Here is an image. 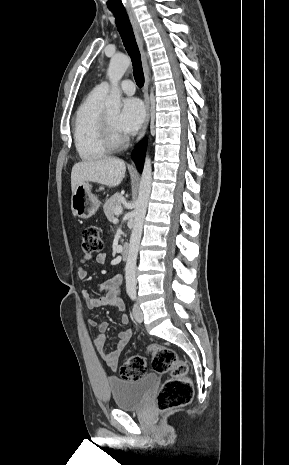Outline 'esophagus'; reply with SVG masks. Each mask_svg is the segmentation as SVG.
Here are the masks:
<instances>
[{
    "mask_svg": "<svg viewBox=\"0 0 289 465\" xmlns=\"http://www.w3.org/2000/svg\"><path fill=\"white\" fill-rule=\"evenodd\" d=\"M127 14L129 16V19L131 21L133 31L135 34V38L141 53V61H142V67L144 71V87H143V94H144V103H145V110H146V115H145V120L142 125V128L139 132L138 138L136 143H139L147 130L148 124H149V119H150V103H149V94H148V87H149V65H148V57L144 51L143 47V39H142V34H141V29L137 20V17L134 13V10L132 8H127Z\"/></svg>",
    "mask_w": 289,
    "mask_h": 465,
    "instance_id": "34e87169",
    "label": "esophagus"
}]
</instances>
